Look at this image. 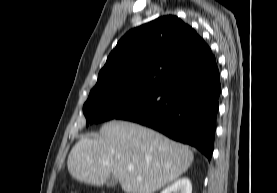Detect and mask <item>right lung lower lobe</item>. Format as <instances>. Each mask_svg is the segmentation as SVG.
Listing matches in <instances>:
<instances>
[{"instance_id": "98d812e1", "label": "right lung lower lobe", "mask_w": 277, "mask_h": 193, "mask_svg": "<svg viewBox=\"0 0 277 193\" xmlns=\"http://www.w3.org/2000/svg\"><path fill=\"white\" fill-rule=\"evenodd\" d=\"M221 91L214 56L162 84L149 98L118 119L153 128L189 144L211 159Z\"/></svg>"}]
</instances>
